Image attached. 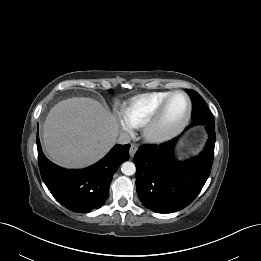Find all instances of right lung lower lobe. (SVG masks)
I'll use <instances>...</instances> for the list:
<instances>
[{"mask_svg":"<svg viewBox=\"0 0 261 261\" xmlns=\"http://www.w3.org/2000/svg\"><path fill=\"white\" fill-rule=\"evenodd\" d=\"M39 169L44 183L67 209L88 213L100 208L109 195L113 174L129 158L130 144L116 145L96 164L81 170H66L49 161L37 136Z\"/></svg>","mask_w":261,"mask_h":261,"instance_id":"1","label":"right lung lower lobe"}]
</instances>
